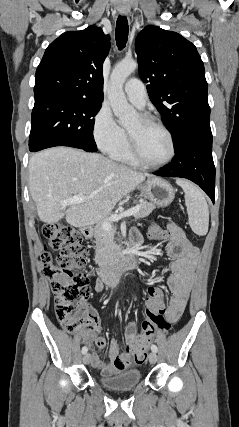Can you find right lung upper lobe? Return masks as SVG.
Listing matches in <instances>:
<instances>
[{"instance_id":"1","label":"right lung upper lobe","mask_w":239,"mask_h":427,"mask_svg":"<svg viewBox=\"0 0 239 427\" xmlns=\"http://www.w3.org/2000/svg\"><path fill=\"white\" fill-rule=\"evenodd\" d=\"M110 37L89 26L69 31L46 49L35 75V100L69 98L103 101V62Z\"/></svg>"}]
</instances>
